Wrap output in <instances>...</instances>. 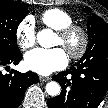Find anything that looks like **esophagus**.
<instances>
[{
  "label": "esophagus",
  "mask_w": 108,
  "mask_h": 108,
  "mask_svg": "<svg viewBox=\"0 0 108 108\" xmlns=\"http://www.w3.org/2000/svg\"><path fill=\"white\" fill-rule=\"evenodd\" d=\"M39 80L42 81V82H46V81H49L50 78L49 77L40 76Z\"/></svg>",
  "instance_id": "34e87169"
}]
</instances>
